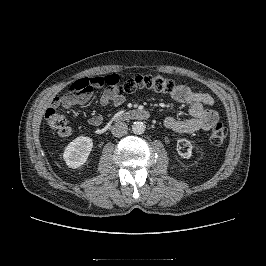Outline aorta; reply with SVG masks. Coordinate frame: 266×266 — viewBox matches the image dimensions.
I'll return each instance as SVG.
<instances>
[{
    "label": "aorta",
    "mask_w": 266,
    "mask_h": 266,
    "mask_svg": "<svg viewBox=\"0 0 266 266\" xmlns=\"http://www.w3.org/2000/svg\"><path fill=\"white\" fill-rule=\"evenodd\" d=\"M145 124L141 121H136L132 125V131L136 135H141L145 132Z\"/></svg>",
    "instance_id": "obj_1"
}]
</instances>
